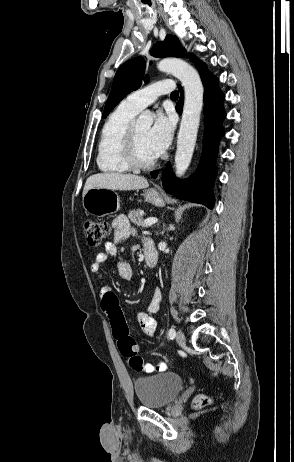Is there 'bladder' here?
Segmentation results:
<instances>
[{
    "mask_svg": "<svg viewBox=\"0 0 294 462\" xmlns=\"http://www.w3.org/2000/svg\"><path fill=\"white\" fill-rule=\"evenodd\" d=\"M184 387V379L171 372L137 378L134 390L139 402L148 408H162L172 404Z\"/></svg>",
    "mask_w": 294,
    "mask_h": 462,
    "instance_id": "obj_1",
    "label": "bladder"
}]
</instances>
